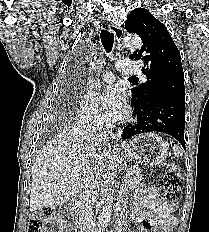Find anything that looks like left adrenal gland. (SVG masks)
<instances>
[{
  "label": "left adrenal gland",
  "mask_w": 209,
  "mask_h": 232,
  "mask_svg": "<svg viewBox=\"0 0 209 232\" xmlns=\"http://www.w3.org/2000/svg\"><path fill=\"white\" fill-rule=\"evenodd\" d=\"M120 189H121L120 193L123 195L120 198H121V200H123L124 196L127 197V195H128V191H127V187H126V180L125 179L122 181Z\"/></svg>",
  "instance_id": "left-adrenal-gland-1"
}]
</instances>
